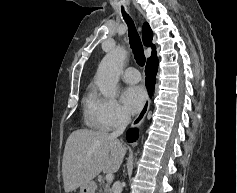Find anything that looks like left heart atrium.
Here are the masks:
<instances>
[{
    "mask_svg": "<svg viewBox=\"0 0 237 193\" xmlns=\"http://www.w3.org/2000/svg\"><path fill=\"white\" fill-rule=\"evenodd\" d=\"M145 90L143 87L134 85L125 88L122 93V102L129 113L138 112L145 102Z\"/></svg>",
    "mask_w": 237,
    "mask_h": 193,
    "instance_id": "obj_1",
    "label": "left heart atrium"
}]
</instances>
